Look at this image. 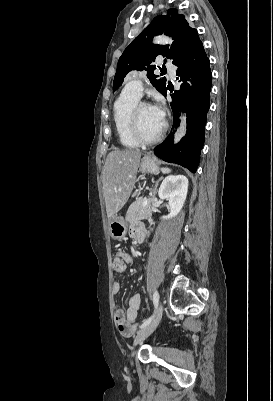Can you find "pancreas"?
<instances>
[{"mask_svg":"<svg viewBox=\"0 0 273 401\" xmlns=\"http://www.w3.org/2000/svg\"><path fill=\"white\" fill-rule=\"evenodd\" d=\"M145 199L146 198H138V201H135V203H132V205H130L125 217L127 223H139V221H142V219H151V205L154 201V196H151V198H149L150 202L147 206L143 205ZM141 206H144V209H141Z\"/></svg>","mask_w":273,"mask_h":401,"instance_id":"pancreas-1","label":"pancreas"}]
</instances>
